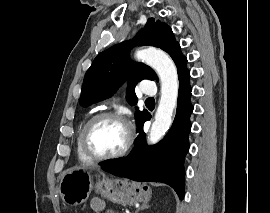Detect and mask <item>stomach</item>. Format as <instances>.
Returning <instances> with one entry per match:
<instances>
[{
    "mask_svg": "<svg viewBox=\"0 0 270 213\" xmlns=\"http://www.w3.org/2000/svg\"><path fill=\"white\" fill-rule=\"evenodd\" d=\"M92 190L118 204L147 202L151 189L127 179L100 176L93 169L71 168L63 172L59 194L67 205L77 206L86 201Z\"/></svg>",
    "mask_w": 270,
    "mask_h": 213,
    "instance_id": "stomach-1",
    "label": "stomach"
}]
</instances>
